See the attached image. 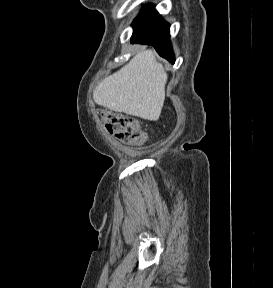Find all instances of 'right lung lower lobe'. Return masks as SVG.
<instances>
[{
    "label": "right lung lower lobe",
    "instance_id": "obj_1",
    "mask_svg": "<svg viewBox=\"0 0 273 288\" xmlns=\"http://www.w3.org/2000/svg\"><path fill=\"white\" fill-rule=\"evenodd\" d=\"M132 42L154 46L160 56L174 63L170 43L169 24L165 22L152 5L145 6L132 23Z\"/></svg>",
    "mask_w": 273,
    "mask_h": 288
}]
</instances>
